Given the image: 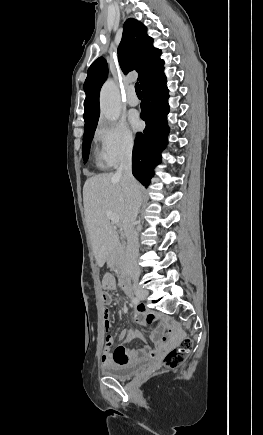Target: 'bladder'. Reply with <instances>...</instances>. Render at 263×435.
Returning <instances> with one entry per match:
<instances>
[{
	"mask_svg": "<svg viewBox=\"0 0 263 435\" xmlns=\"http://www.w3.org/2000/svg\"><path fill=\"white\" fill-rule=\"evenodd\" d=\"M147 363H148L147 360H140L128 364L111 365L105 367L103 369V372L105 375L109 377L119 379V380H124L138 373Z\"/></svg>",
	"mask_w": 263,
	"mask_h": 435,
	"instance_id": "31cf9c89",
	"label": "bladder"
}]
</instances>
